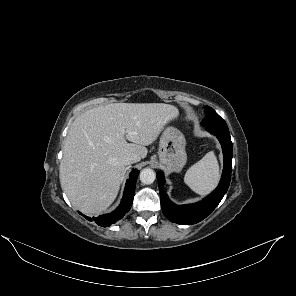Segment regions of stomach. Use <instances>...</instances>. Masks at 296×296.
<instances>
[{
	"label": "stomach",
	"mask_w": 296,
	"mask_h": 296,
	"mask_svg": "<svg viewBox=\"0 0 296 296\" xmlns=\"http://www.w3.org/2000/svg\"><path fill=\"white\" fill-rule=\"evenodd\" d=\"M184 135L174 127L163 130L159 142V160L167 169L180 172L187 162Z\"/></svg>",
	"instance_id": "0dacf381"
}]
</instances>
